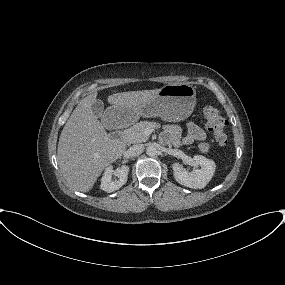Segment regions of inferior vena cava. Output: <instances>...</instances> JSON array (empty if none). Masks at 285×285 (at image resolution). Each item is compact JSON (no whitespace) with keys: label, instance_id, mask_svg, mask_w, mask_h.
I'll return each mask as SVG.
<instances>
[{"label":"inferior vena cava","instance_id":"obj_1","mask_svg":"<svg viewBox=\"0 0 285 285\" xmlns=\"http://www.w3.org/2000/svg\"><path fill=\"white\" fill-rule=\"evenodd\" d=\"M143 149H144L143 144H136L128 149V153L130 156H138L143 152Z\"/></svg>","mask_w":285,"mask_h":285}]
</instances>
